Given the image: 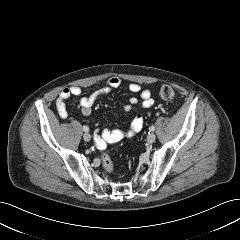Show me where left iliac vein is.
<instances>
[{
    "label": "left iliac vein",
    "instance_id": "left-iliac-vein-1",
    "mask_svg": "<svg viewBox=\"0 0 240 240\" xmlns=\"http://www.w3.org/2000/svg\"><path fill=\"white\" fill-rule=\"evenodd\" d=\"M155 139H156V136H155V134L154 133H150L148 136H147V142L148 143H153L154 141H155Z\"/></svg>",
    "mask_w": 240,
    "mask_h": 240
}]
</instances>
